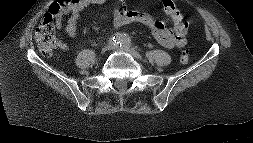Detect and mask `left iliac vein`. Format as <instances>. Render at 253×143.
I'll return each instance as SVG.
<instances>
[{
	"mask_svg": "<svg viewBox=\"0 0 253 143\" xmlns=\"http://www.w3.org/2000/svg\"><path fill=\"white\" fill-rule=\"evenodd\" d=\"M113 50L114 51H124V52L131 54L136 59H141L140 54L137 51H135L133 48H130V47H123L122 48V47L116 46V47H113Z\"/></svg>",
	"mask_w": 253,
	"mask_h": 143,
	"instance_id": "4c4485c4",
	"label": "left iliac vein"
}]
</instances>
